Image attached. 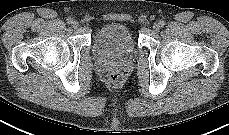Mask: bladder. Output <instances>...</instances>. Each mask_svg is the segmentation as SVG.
Returning <instances> with one entry per match:
<instances>
[{"mask_svg":"<svg viewBox=\"0 0 229 135\" xmlns=\"http://www.w3.org/2000/svg\"><path fill=\"white\" fill-rule=\"evenodd\" d=\"M93 48L99 56H130L136 44L130 28L121 23H109L95 34Z\"/></svg>","mask_w":229,"mask_h":135,"instance_id":"1","label":"bladder"}]
</instances>
